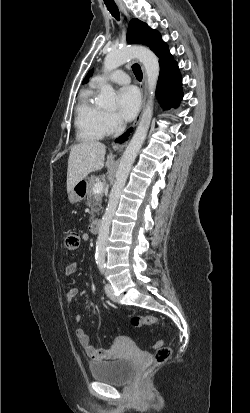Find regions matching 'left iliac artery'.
I'll list each match as a JSON object with an SVG mask.
<instances>
[{"instance_id":"obj_1","label":"left iliac artery","mask_w":250,"mask_h":413,"mask_svg":"<svg viewBox=\"0 0 250 413\" xmlns=\"http://www.w3.org/2000/svg\"><path fill=\"white\" fill-rule=\"evenodd\" d=\"M104 268H105V265L101 264V265H100V270H101V272L104 271Z\"/></svg>"}]
</instances>
